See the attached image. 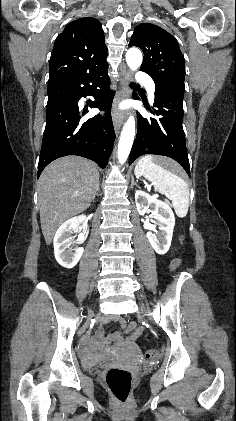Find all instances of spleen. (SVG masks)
Listing matches in <instances>:
<instances>
[{
  "mask_svg": "<svg viewBox=\"0 0 236 421\" xmlns=\"http://www.w3.org/2000/svg\"><path fill=\"white\" fill-rule=\"evenodd\" d=\"M164 162L154 160L151 154H146L138 160L135 166L136 176L148 178L158 192L166 194L172 200L174 211L177 217H186L189 208V186L181 176L173 174L162 166Z\"/></svg>",
  "mask_w": 236,
  "mask_h": 421,
  "instance_id": "3e777b00",
  "label": "spleen"
}]
</instances>
